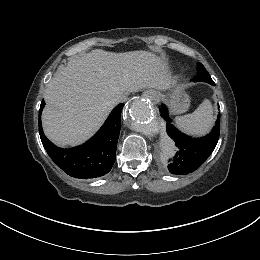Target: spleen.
<instances>
[{
	"instance_id": "3e777b00",
	"label": "spleen",
	"mask_w": 260,
	"mask_h": 260,
	"mask_svg": "<svg viewBox=\"0 0 260 260\" xmlns=\"http://www.w3.org/2000/svg\"><path fill=\"white\" fill-rule=\"evenodd\" d=\"M214 121L213 107L209 99H205L193 113L175 118L176 126L180 130L196 136L209 132Z\"/></svg>"
}]
</instances>
